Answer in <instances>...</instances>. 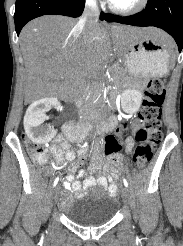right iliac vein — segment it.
Segmentation results:
<instances>
[{
	"mask_svg": "<svg viewBox=\"0 0 183 246\" xmlns=\"http://www.w3.org/2000/svg\"><path fill=\"white\" fill-rule=\"evenodd\" d=\"M59 192H60V187L57 186L52 193L53 202L56 201V199L58 198Z\"/></svg>",
	"mask_w": 183,
	"mask_h": 246,
	"instance_id": "right-iliac-vein-1",
	"label": "right iliac vein"
}]
</instances>
